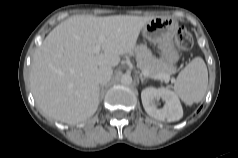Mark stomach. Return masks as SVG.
<instances>
[{"label":"stomach","mask_w":238,"mask_h":158,"mask_svg":"<svg viewBox=\"0 0 238 158\" xmlns=\"http://www.w3.org/2000/svg\"><path fill=\"white\" fill-rule=\"evenodd\" d=\"M177 24L164 18H153L142 29L143 36L158 44L162 51V60L173 66L179 59V53L174 46L173 37Z\"/></svg>","instance_id":"stomach-1"}]
</instances>
